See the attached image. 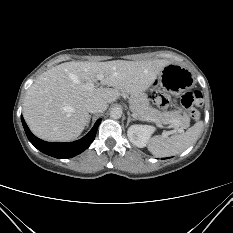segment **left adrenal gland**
Segmentation results:
<instances>
[{"mask_svg":"<svg viewBox=\"0 0 233 233\" xmlns=\"http://www.w3.org/2000/svg\"><path fill=\"white\" fill-rule=\"evenodd\" d=\"M127 115H128V119H127V124H126V126H128L129 123H130L131 121H134V120H135L134 118L131 117L130 112H128Z\"/></svg>","mask_w":233,"mask_h":233,"instance_id":"left-adrenal-gland-1","label":"left adrenal gland"}]
</instances>
